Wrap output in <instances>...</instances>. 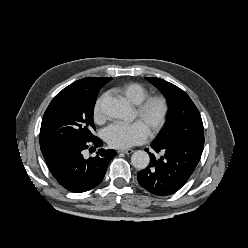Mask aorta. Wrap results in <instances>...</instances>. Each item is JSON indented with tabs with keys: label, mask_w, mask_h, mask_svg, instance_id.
Masks as SVG:
<instances>
[{
	"label": "aorta",
	"mask_w": 248,
	"mask_h": 248,
	"mask_svg": "<svg viewBox=\"0 0 248 248\" xmlns=\"http://www.w3.org/2000/svg\"><path fill=\"white\" fill-rule=\"evenodd\" d=\"M101 109L105 115L116 119L127 120L131 115V107L123 99L106 98L101 103ZM149 162V154L143 150H137L131 156V163L137 169H145Z\"/></svg>",
	"instance_id": "aorta-1"
}]
</instances>
